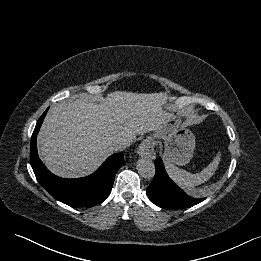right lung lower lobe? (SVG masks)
<instances>
[{"instance_id":"98d812e1","label":"right lung lower lobe","mask_w":261,"mask_h":261,"mask_svg":"<svg viewBox=\"0 0 261 261\" xmlns=\"http://www.w3.org/2000/svg\"><path fill=\"white\" fill-rule=\"evenodd\" d=\"M49 109V108H48ZM48 109L39 118L33 131L30 162L39 183L55 199L74 207H92L102 203L110 194L114 178L125 162L122 154L108 157L92 175L79 179H64L52 174L37 154V134Z\"/></svg>"}]
</instances>
